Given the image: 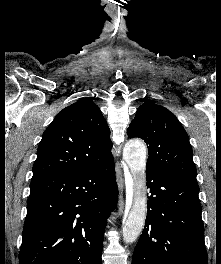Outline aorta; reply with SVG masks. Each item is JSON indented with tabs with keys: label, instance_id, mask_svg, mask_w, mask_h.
<instances>
[{
	"label": "aorta",
	"instance_id": "aorta-1",
	"mask_svg": "<svg viewBox=\"0 0 221 264\" xmlns=\"http://www.w3.org/2000/svg\"><path fill=\"white\" fill-rule=\"evenodd\" d=\"M147 148L139 140L128 141L123 149V159L126 162L131 178L127 183V191L132 199V206L123 225V240L133 243L140 236L146 219V167Z\"/></svg>",
	"mask_w": 221,
	"mask_h": 264
}]
</instances>
